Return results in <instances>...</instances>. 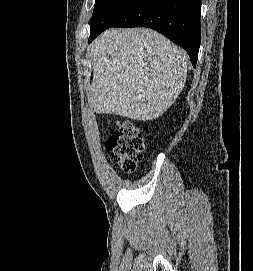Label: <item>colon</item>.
<instances>
[{
	"mask_svg": "<svg viewBox=\"0 0 253 271\" xmlns=\"http://www.w3.org/2000/svg\"><path fill=\"white\" fill-rule=\"evenodd\" d=\"M106 146L113 163L126 173L134 172L142 159L144 138L130 121L120 122L109 136Z\"/></svg>",
	"mask_w": 253,
	"mask_h": 271,
	"instance_id": "1",
	"label": "colon"
}]
</instances>
